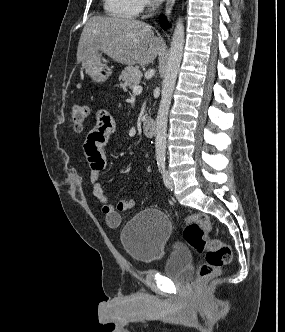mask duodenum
I'll use <instances>...</instances> for the list:
<instances>
[{"label": "duodenum", "mask_w": 285, "mask_h": 332, "mask_svg": "<svg viewBox=\"0 0 285 332\" xmlns=\"http://www.w3.org/2000/svg\"><path fill=\"white\" fill-rule=\"evenodd\" d=\"M142 130L146 137L152 138L156 132V124L152 119H146L142 124Z\"/></svg>", "instance_id": "duodenum-1"}]
</instances>
